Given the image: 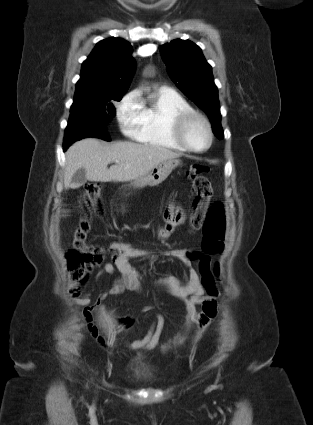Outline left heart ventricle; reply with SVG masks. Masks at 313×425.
Instances as JSON below:
<instances>
[{"instance_id": "left-heart-ventricle-1", "label": "left heart ventricle", "mask_w": 313, "mask_h": 425, "mask_svg": "<svg viewBox=\"0 0 313 425\" xmlns=\"http://www.w3.org/2000/svg\"><path fill=\"white\" fill-rule=\"evenodd\" d=\"M186 139L194 148H204L208 144V133L205 125L199 120L193 121L187 128Z\"/></svg>"}]
</instances>
